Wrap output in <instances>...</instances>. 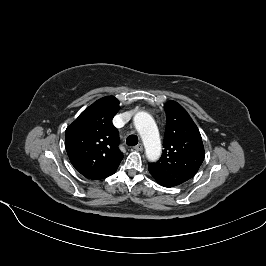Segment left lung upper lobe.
Here are the masks:
<instances>
[{
    "label": "left lung upper lobe",
    "instance_id": "1",
    "mask_svg": "<svg viewBox=\"0 0 266 266\" xmlns=\"http://www.w3.org/2000/svg\"><path fill=\"white\" fill-rule=\"evenodd\" d=\"M166 130L163 153L156 163H149L148 169L156 181L171 187L191 179L204 160V146L199 129L177 102L164 105Z\"/></svg>",
    "mask_w": 266,
    "mask_h": 266
}]
</instances>
